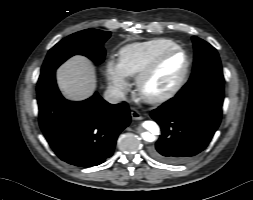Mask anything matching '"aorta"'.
<instances>
[{
	"label": "aorta",
	"instance_id": "aorta-1",
	"mask_svg": "<svg viewBox=\"0 0 253 200\" xmlns=\"http://www.w3.org/2000/svg\"><path fill=\"white\" fill-rule=\"evenodd\" d=\"M143 127L147 131L141 133L142 139L148 142L154 141L155 135L159 133V126L154 121H145Z\"/></svg>",
	"mask_w": 253,
	"mask_h": 200
}]
</instances>
